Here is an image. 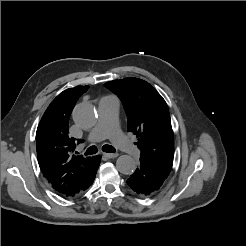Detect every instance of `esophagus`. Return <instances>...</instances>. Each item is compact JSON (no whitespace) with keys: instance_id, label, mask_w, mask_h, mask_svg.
I'll return each instance as SVG.
<instances>
[{"instance_id":"esophagus-1","label":"esophagus","mask_w":246,"mask_h":246,"mask_svg":"<svg viewBox=\"0 0 246 246\" xmlns=\"http://www.w3.org/2000/svg\"><path fill=\"white\" fill-rule=\"evenodd\" d=\"M103 156L108 159H112V158H116L118 154L117 153H104Z\"/></svg>"}]
</instances>
